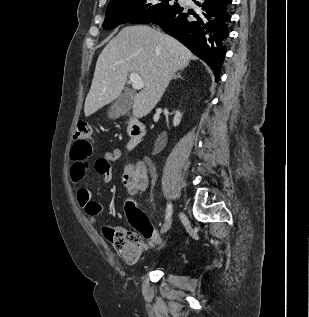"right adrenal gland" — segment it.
I'll return each instance as SVG.
<instances>
[{
	"mask_svg": "<svg viewBox=\"0 0 309 317\" xmlns=\"http://www.w3.org/2000/svg\"><path fill=\"white\" fill-rule=\"evenodd\" d=\"M181 71H182V70H180L177 74H175V75L172 77V79L181 78Z\"/></svg>",
	"mask_w": 309,
	"mask_h": 317,
	"instance_id": "1",
	"label": "right adrenal gland"
}]
</instances>
